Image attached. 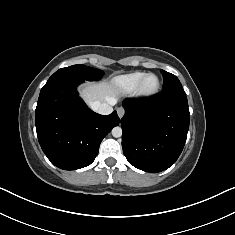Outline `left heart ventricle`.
Segmentation results:
<instances>
[{"mask_svg":"<svg viewBox=\"0 0 235 235\" xmlns=\"http://www.w3.org/2000/svg\"><path fill=\"white\" fill-rule=\"evenodd\" d=\"M155 85H156V78L151 76V77L147 78V80L145 81L144 88L146 90H151L155 87Z\"/></svg>","mask_w":235,"mask_h":235,"instance_id":"b2bd125f","label":"left heart ventricle"}]
</instances>
